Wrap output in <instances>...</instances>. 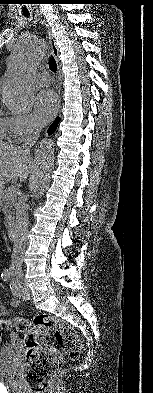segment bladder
I'll return each mask as SVG.
<instances>
[{"mask_svg":"<svg viewBox=\"0 0 153 393\" xmlns=\"http://www.w3.org/2000/svg\"><path fill=\"white\" fill-rule=\"evenodd\" d=\"M13 348L0 349V381L15 384L18 382L19 362L15 361Z\"/></svg>","mask_w":153,"mask_h":393,"instance_id":"1","label":"bladder"}]
</instances>
